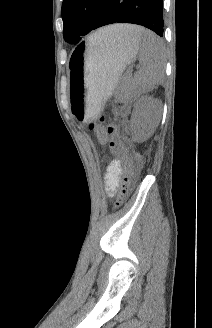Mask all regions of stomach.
Segmentation results:
<instances>
[{
    "label": "stomach",
    "instance_id": "0dacf381",
    "mask_svg": "<svg viewBox=\"0 0 212 328\" xmlns=\"http://www.w3.org/2000/svg\"><path fill=\"white\" fill-rule=\"evenodd\" d=\"M138 51L135 39L94 44L88 40L76 47L69 63L70 97L72 112L79 120L98 113Z\"/></svg>",
    "mask_w": 212,
    "mask_h": 328
}]
</instances>
